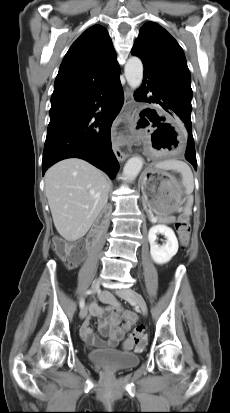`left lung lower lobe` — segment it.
Listing matches in <instances>:
<instances>
[{"instance_id":"0a47b994","label":"left lung lower lobe","mask_w":230,"mask_h":413,"mask_svg":"<svg viewBox=\"0 0 230 413\" xmlns=\"http://www.w3.org/2000/svg\"><path fill=\"white\" fill-rule=\"evenodd\" d=\"M148 91H151L154 96L151 98V101L146 97ZM135 99L139 102L158 103L169 114L182 120L187 130L188 137L185 158L193 165L196 170L197 161L190 118L191 110H189L186 105L177 98L165 93L162 90L161 86L158 84L157 80L151 75L145 73L142 87L135 94ZM161 128L162 130H164L163 126Z\"/></svg>"}]
</instances>
